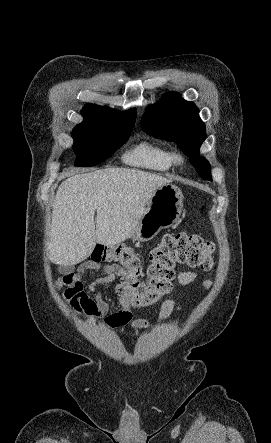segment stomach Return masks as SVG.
<instances>
[{
  "label": "stomach",
  "mask_w": 271,
  "mask_h": 443,
  "mask_svg": "<svg viewBox=\"0 0 271 443\" xmlns=\"http://www.w3.org/2000/svg\"><path fill=\"white\" fill-rule=\"evenodd\" d=\"M142 218L136 223L132 239L149 241L160 229L171 227L178 220L183 210V194L177 186L166 184L154 190Z\"/></svg>",
  "instance_id": "obj_1"
}]
</instances>
